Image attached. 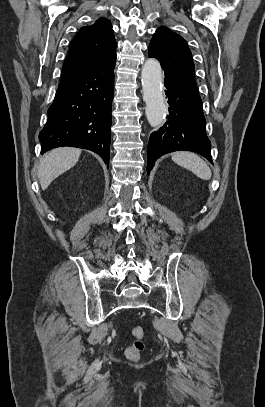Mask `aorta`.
Listing matches in <instances>:
<instances>
[{"label": "aorta", "instance_id": "1", "mask_svg": "<svg viewBox=\"0 0 265 407\" xmlns=\"http://www.w3.org/2000/svg\"><path fill=\"white\" fill-rule=\"evenodd\" d=\"M142 93L149 124L158 127L165 119L167 106L162 92V68L158 60L148 59L142 68Z\"/></svg>", "mask_w": 265, "mask_h": 407}]
</instances>
